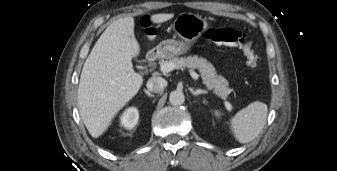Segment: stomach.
Instances as JSON below:
<instances>
[{
  "instance_id": "stomach-1",
  "label": "stomach",
  "mask_w": 337,
  "mask_h": 171,
  "mask_svg": "<svg viewBox=\"0 0 337 171\" xmlns=\"http://www.w3.org/2000/svg\"><path fill=\"white\" fill-rule=\"evenodd\" d=\"M207 26V21L201 16L192 13H181L173 23V29L181 40H164L157 48L165 57L185 54L206 30Z\"/></svg>"
}]
</instances>
